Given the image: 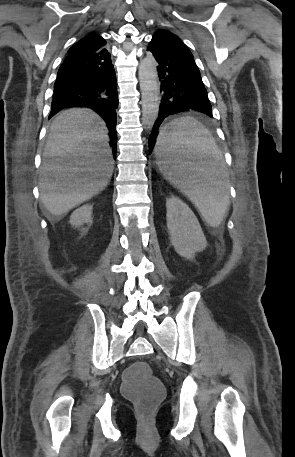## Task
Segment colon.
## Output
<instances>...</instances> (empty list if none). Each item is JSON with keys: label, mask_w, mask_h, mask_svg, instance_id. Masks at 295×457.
<instances>
[{"label": "colon", "mask_w": 295, "mask_h": 457, "mask_svg": "<svg viewBox=\"0 0 295 457\" xmlns=\"http://www.w3.org/2000/svg\"><path fill=\"white\" fill-rule=\"evenodd\" d=\"M120 387L124 395L134 402L140 415L148 418L163 395L161 383L155 379L150 363H131L125 369Z\"/></svg>", "instance_id": "obj_1"}]
</instances>
